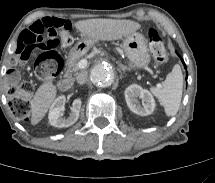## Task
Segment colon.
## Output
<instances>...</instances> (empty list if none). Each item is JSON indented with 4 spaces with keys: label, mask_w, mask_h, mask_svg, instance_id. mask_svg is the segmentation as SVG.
Returning a JSON list of instances; mask_svg holds the SVG:
<instances>
[{
    "label": "colon",
    "mask_w": 215,
    "mask_h": 183,
    "mask_svg": "<svg viewBox=\"0 0 215 183\" xmlns=\"http://www.w3.org/2000/svg\"><path fill=\"white\" fill-rule=\"evenodd\" d=\"M70 23L65 18L47 17L35 21L30 29L23 31L20 36L18 54L21 60L35 58V74L47 79L56 75L60 70L61 57L57 48L66 49L73 43L69 34ZM148 41L152 55L162 65L168 64V53L160 34L151 29ZM33 86L23 82L9 91L10 107L15 116L27 121L31 115L30 95Z\"/></svg>",
    "instance_id": "obj_1"
}]
</instances>
